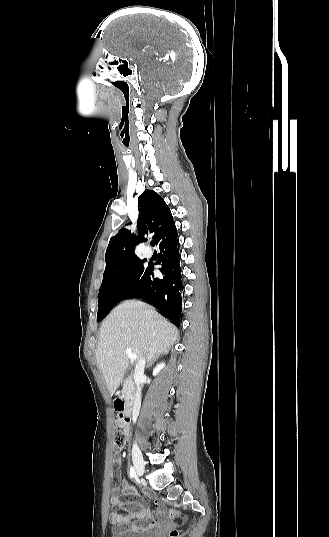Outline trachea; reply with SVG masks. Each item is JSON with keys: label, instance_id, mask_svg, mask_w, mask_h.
Listing matches in <instances>:
<instances>
[{"label": "trachea", "instance_id": "1", "mask_svg": "<svg viewBox=\"0 0 329 537\" xmlns=\"http://www.w3.org/2000/svg\"><path fill=\"white\" fill-rule=\"evenodd\" d=\"M151 246H155V241H151Z\"/></svg>", "mask_w": 329, "mask_h": 537}]
</instances>
